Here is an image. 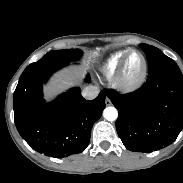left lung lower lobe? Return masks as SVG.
Listing matches in <instances>:
<instances>
[{
	"instance_id": "obj_1",
	"label": "left lung lower lobe",
	"mask_w": 183,
	"mask_h": 183,
	"mask_svg": "<svg viewBox=\"0 0 183 183\" xmlns=\"http://www.w3.org/2000/svg\"><path fill=\"white\" fill-rule=\"evenodd\" d=\"M119 112L116 130L130 151L150 153L172 144L183 128V76L177 65L150 73L138 90H105Z\"/></svg>"
}]
</instances>
